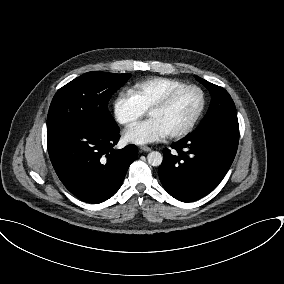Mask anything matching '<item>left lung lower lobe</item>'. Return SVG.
<instances>
[{
	"label": "left lung lower lobe",
	"instance_id": "0a47b994",
	"mask_svg": "<svg viewBox=\"0 0 284 284\" xmlns=\"http://www.w3.org/2000/svg\"><path fill=\"white\" fill-rule=\"evenodd\" d=\"M239 125L222 124L193 131L163 151L158 169L165 190L182 202L210 193L228 172L237 152Z\"/></svg>",
	"mask_w": 284,
	"mask_h": 284
}]
</instances>
